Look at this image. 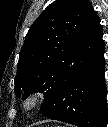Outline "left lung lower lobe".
I'll return each mask as SVG.
<instances>
[{"instance_id": "0a47b994", "label": "left lung lower lobe", "mask_w": 108, "mask_h": 127, "mask_svg": "<svg viewBox=\"0 0 108 127\" xmlns=\"http://www.w3.org/2000/svg\"><path fill=\"white\" fill-rule=\"evenodd\" d=\"M64 67L61 83L43 115L78 127H107L104 42L91 3Z\"/></svg>"}]
</instances>
